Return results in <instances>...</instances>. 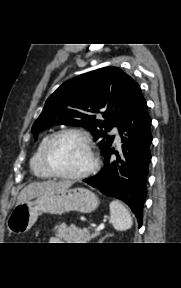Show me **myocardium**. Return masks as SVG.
Here are the masks:
<instances>
[{"label": "myocardium", "instance_id": "myocardium-1", "mask_svg": "<svg viewBox=\"0 0 181 288\" xmlns=\"http://www.w3.org/2000/svg\"><path fill=\"white\" fill-rule=\"evenodd\" d=\"M66 135H75V136L80 137L83 140V142L85 143V145L87 146V149L89 151L90 164L88 165V167L86 169H84L83 171H81L79 173H74V174L64 173V172L58 170L52 162L51 154H52L53 147L55 146L56 142L60 138H62L63 136H66ZM43 161H44L46 168L48 169V171L52 175H54L55 177H58V178L70 179V180L83 179V178L89 176L97 168L98 162H99L98 157L95 153L93 141H92L90 135L86 131L78 129V128L62 129V130L56 132L54 135H52V137L49 139V141L45 147V150L43 153Z\"/></svg>", "mask_w": 181, "mask_h": 288}]
</instances>
